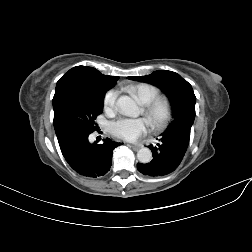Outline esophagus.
<instances>
[{"label": "esophagus", "mask_w": 252, "mask_h": 252, "mask_svg": "<svg viewBox=\"0 0 252 252\" xmlns=\"http://www.w3.org/2000/svg\"><path fill=\"white\" fill-rule=\"evenodd\" d=\"M131 147H132L133 150L137 151V150H139L142 147V145H134V144H132Z\"/></svg>", "instance_id": "obj_1"}]
</instances>
